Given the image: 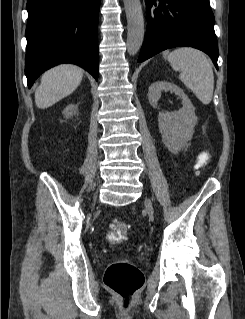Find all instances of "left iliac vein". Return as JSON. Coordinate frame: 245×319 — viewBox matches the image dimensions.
<instances>
[{
	"label": "left iliac vein",
	"mask_w": 245,
	"mask_h": 319,
	"mask_svg": "<svg viewBox=\"0 0 245 319\" xmlns=\"http://www.w3.org/2000/svg\"><path fill=\"white\" fill-rule=\"evenodd\" d=\"M145 205H146L147 210L149 211V214L151 216H153L154 208H153V205H152V202L150 201V199H148V198L145 199Z\"/></svg>",
	"instance_id": "obj_1"
}]
</instances>
